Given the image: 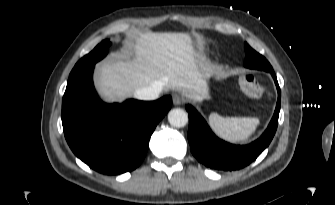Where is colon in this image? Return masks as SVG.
Returning a JSON list of instances; mask_svg holds the SVG:
<instances>
[{
    "label": "colon",
    "mask_w": 335,
    "mask_h": 205,
    "mask_svg": "<svg viewBox=\"0 0 335 205\" xmlns=\"http://www.w3.org/2000/svg\"><path fill=\"white\" fill-rule=\"evenodd\" d=\"M239 85L241 91L250 98H259L268 94L266 86L260 84L251 74L241 76Z\"/></svg>",
    "instance_id": "1"
}]
</instances>
